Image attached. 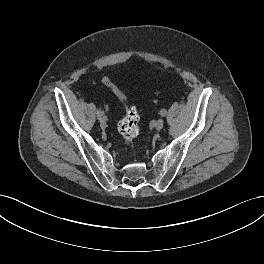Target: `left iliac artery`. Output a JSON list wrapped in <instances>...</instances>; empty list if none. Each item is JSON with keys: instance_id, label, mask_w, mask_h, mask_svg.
Instances as JSON below:
<instances>
[{"instance_id": "44dca946", "label": "left iliac artery", "mask_w": 264, "mask_h": 264, "mask_svg": "<svg viewBox=\"0 0 264 264\" xmlns=\"http://www.w3.org/2000/svg\"><path fill=\"white\" fill-rule=\"evenodd\" d=\"M166 114H167L166 109H162V110L160 111V115H161V116H166Z\"/></svg>"}]
</instances>
